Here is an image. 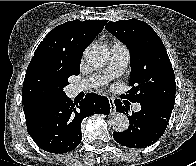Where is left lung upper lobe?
I'll return each mask as SVG.
<instances>
[{"label": "left lung upper lobe", "instance_id": "obj_1", "mask_svg": "<svg viewBox=\"0 0 196 166\" xmlns=\"http://www.w3.org/2000/svg\"><path fill=\"white\" fill-rule=\"evenodd\" d=\"M106 29L124 43L131 57V89L122 95L131 102H156L173 109L175 75L166 48L147 23L135 18L109 21Z\"/></svg>", "mask_w": 196, "mask_h": 166}]
</instances>
